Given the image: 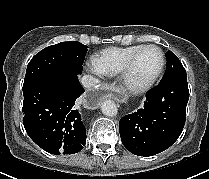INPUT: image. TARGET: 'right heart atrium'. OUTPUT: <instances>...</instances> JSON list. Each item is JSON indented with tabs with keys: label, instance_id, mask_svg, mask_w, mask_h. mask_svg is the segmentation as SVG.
Here are the masks:
<instances>
[{
	"label": "right heart atrium",
	"instance_id": "obj_1",
	"mask_svg": "<svg viewBox=\"0 0 209 179\" xmlns=\"http://www.w3.org/2000/svg\"><path fill=\"white\" fill-rule=\"evenodd\" d=\"M91 70H92L93 72H97V70H96L95 68H91Z\"/></svg>",
	"mask_w": 209,
	"mask_h": 179
}]
</instances>
